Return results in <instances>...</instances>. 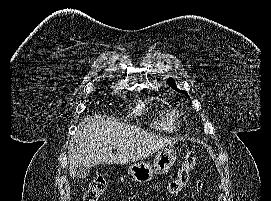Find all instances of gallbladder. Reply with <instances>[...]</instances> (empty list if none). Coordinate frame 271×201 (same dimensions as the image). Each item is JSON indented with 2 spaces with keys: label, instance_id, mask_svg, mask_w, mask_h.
<instances>
[{
  "label": "gallbladder",
  "instance_id": "1",
  "mask_svg": "<svg viewBox=\"0 0 271 201\" xmlns=\"http://www.w3.org/2000/svg\"><path fill=\"white\" fill-rule=\"evenodd\" d=\"M89 175V169L85 167H78L75 173V176L83 179Z\"/></svg>",
  "mask_w": 271,
  "mask_h": 201
}]
</instances>
